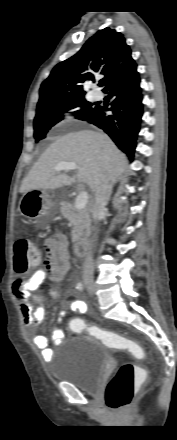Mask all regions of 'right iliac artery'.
Masks as SVG:
<instances>
[{"mask_svg": "<svg viewBox=\"0 0 177 440\" xmlns=\"http://www.w3.org/2000/svg\"><path fill=\"white\" fill-rule=\"evenodd\" d=\"M76 288H77L78 290H82V289H83V284H82V283H78L77 286H76Z\"/></svg>", "mask_w": 177, "mask_h": 440, "instance_id": "1", "label": "right iliac artery"}]
</instances>
